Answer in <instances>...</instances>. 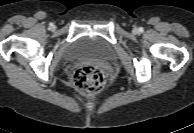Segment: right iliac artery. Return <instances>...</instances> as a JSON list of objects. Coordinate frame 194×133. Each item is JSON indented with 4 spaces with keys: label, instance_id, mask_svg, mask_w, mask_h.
I'll return each instance as SVG.
<instances>
[{
    "label": "right iliac artery",
    "instance_id": "1",
    "mask_svg": "<svg viewBox=\"0 0 194 133\" xmlns=\"http://www.w3.org/2000/svg\"><path fill=\"white\" fill-rule=\"evenodd\" d=\"M53 26V24L52 23H50V27H52Z\"/></svg>",
    "mask_w": 194,
    "mask_h": 133
}]
</instances>
